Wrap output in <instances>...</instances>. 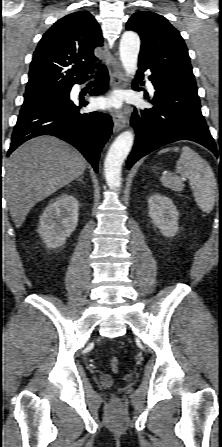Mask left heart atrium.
I'll return each instance as SVG.
<instances>
[{"instance_id":"left-heart-atrium-1","label":"left heart atrium","mask_w":222,"mask_h":447,"mask_svg":"<svg viewBox=\"0 0 222 447\" xmlns=\"http://www.w3.org/2000/svg\"><path fill=\"white\" fill-rule=\"evenodd\" d=\"M98 105L102 109H118L122 105V99L119 94L115 93L111 96L100 98L98 100Z\"/></svg>"}]
</instances>
